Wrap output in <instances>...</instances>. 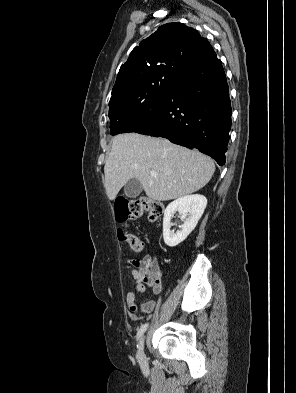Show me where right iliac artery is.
<instances>
[{"label": "right iliac artery", "instance_id": "1", "mask_svg": "<svg viewBox=\"0 0 296 393\" xmlns=\"http://www.w3.org/2000/svg\"><path fill=\"white\" fill-rule=\"evenodd\" d=\"M147 327H148V323H145L140 327V329L138 330V333H137V340H139V338L143 335V333L146 331ZM137 347H138V345H137Z\"/></svg>", "mask_w": 296, "mask_h": 393}]
</instances>
